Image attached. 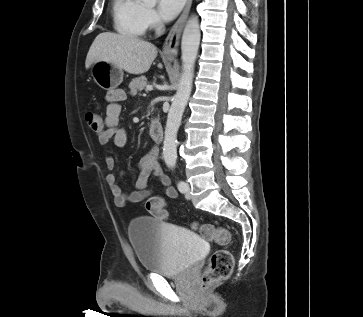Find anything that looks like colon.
Listing matches in <instances>:
<instances>
[{
	"label": "colon",
	"mask_w": 363,
	"mask_h": 317,
	"mask_svg": "<svg viewBox=\"0 0 363 317\" xmlns=\"http://www.w3.org/2000/svg\"><path fill=\"white\" fill-rule=\"evenodd\" d=\"M85 120L91 131L99 134L103 130V120L98 114L87 111ZM146 209L150 215L159 220H166L168 218L164 201L159 197L149 198L146 201ZM195 227L209 241L219 245H227L230 241V234L224 227H216L212 224L195 225ZM233 266V256L227 249L216 250L211 255L209 264L201 276L202 289L206 290L215 283L227 279L232 273Z\"/></svg>",
	"instance_id": "obj_1"
}]
</instances>
